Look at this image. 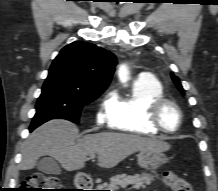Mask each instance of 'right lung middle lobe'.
<instances>
[{
	"label": "right lung middle lobe",
	"instance_id": "right-lung-middle-lobe-1",
	"mask_svg": "<svg viewBox=\"0 0 218 191\" xmlns=\"http://www.w3.org/2000/svg\"><path fill=\"white\" fill-rule=\"evenodd\" d=\"M102 93L103 91L81 88L63 75L49 71L36 103V114L30 127L35 129L55 118L78 123L82 108L96 100Z\"/></svg>",
	"mask_w": 218,
	"mask_h": 191
}]
</instances>
